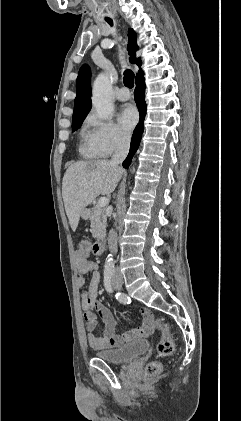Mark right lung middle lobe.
<instances>
[{
    "mask_svg": "<svg viewBox=\"0 0 241 421\" xmlns=\"http://www.w3.org/2000/svg\"><path fill=\"white\" fill-rule=\"evenodd\" d=\"M85 117L86 116L73 118V120H72V130L73 131H76L80 128V126H81L83 120L85 119Z\"/></svg>",
    "mask_w": 241,
    "mask_h": 421,
    "instance_id": "right-lung-middle-lobe-1",
    "label": "right lung middle lobe"
}]
</instances>
